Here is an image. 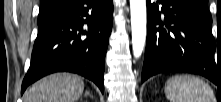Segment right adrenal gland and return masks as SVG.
I'll use <instances>...</instances> for the list:
<instances>
[{
    "label": "right adrenal gland",
    "instance_id": "1",
    "mask_svg": "<svg viewBox=\"0 0 221 102\" xmlns=\"http://www.w3.org/2000/svg\"><path fill=\"white\" fill-rule=\"evenodd\" d=\"M85 95H89L91 98H94V97H93V95H92V94H90V92H89V91H86V92H85Z\"/></svg>",
    "mask_w": 221,
    "mask_h": 102
}]
</instances>
